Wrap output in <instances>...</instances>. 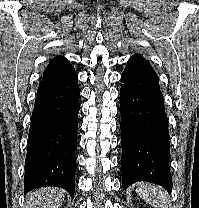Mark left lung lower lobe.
Segmentation results:
<instances>
[{
  "label": "left lung lower lobe",
  "instance_id": "1",
  "mask_svg": "<svg viewBox=\"0 0 199 208\" xmlns=\"http://www.w3.org/2000/svg\"><path fill=\"white\" fill-rule=\"evenodd\" d=\"M121 80L122 186L147 181L170 191V137L159 78L149 62L135 54Z\"/></svg>",
  "mask_w": 199,
  "mask_h": 208
}]
</instances>
